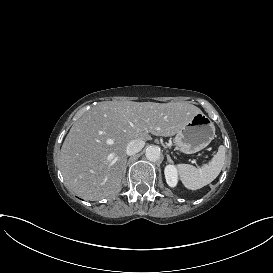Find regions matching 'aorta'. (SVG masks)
Masks as SVG:
<instances>
[{
	"mask_svg": "<svg viewBox=\"0 0 273 273\" xmlns=\"http://www.w3.org/2000/svg\"><path fill=\"white\" fill-rule=\"evenodd\" d=\"M160 149L156 146H149L146 149L145 156L149 161L155 162L160 158Z\"/></svg>",
	"mask_w": 273,
	"mask_h": 273,
	"instance_id": "obj_1",
	"label": "aorta"
}]
</instances>
